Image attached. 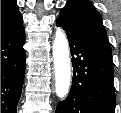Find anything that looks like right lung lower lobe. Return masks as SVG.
Segmentation results:
<instances>
[{"label": "right lung lower lobe", "mask_w": 121, "mask_h": 113, "mask_svg": "<svg viewBox=\"0 0 121 113\" xmlns=\"http://www.w3.org/2000/svg\"><path fill=\"white\" fill-rule=\"evenodd\" d=\"M23 25L1 37V113H16L25 73Z\"/></svg>", "instance_id": "1"}]
</instances>
